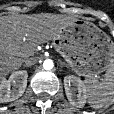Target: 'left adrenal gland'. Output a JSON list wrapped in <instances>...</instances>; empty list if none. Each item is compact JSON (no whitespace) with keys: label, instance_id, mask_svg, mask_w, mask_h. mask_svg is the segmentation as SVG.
Instances as JSON below:
<instances>
[{"label":"left adrenal gland","instance_id":"1","mask_svg":"<svg viewBox=\"0 0 114 114\" xmlns=\"http://www.w3.org/2000/svg\"><path fill=\"white\" fill-rule=\"evenodd\" d=\"M60 66L63 67V66H67L65 63H63L62 61H60Z\"/></svg>","mask_w":114,"mask_h":114}]
</instances>
